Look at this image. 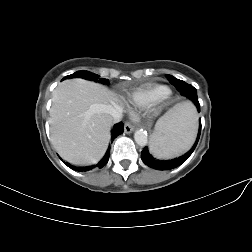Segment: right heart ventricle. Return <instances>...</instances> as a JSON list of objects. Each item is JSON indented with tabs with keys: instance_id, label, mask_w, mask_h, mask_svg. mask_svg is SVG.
Here are the masks:
<instances>
[{
	"instance_id": "right-heart-ventricle-1",
	"label": "right heart ventricle",
	"mask_w": 252,
	"mask_h": 252,
	"mask_svg": "<svg viewBox=\"0 0 252 252\" xmlns=\"http://www.w3.org/2000/svg\"><path fill=\"white\" fill-rule=\"evenodd\" d=\"M169 95L170 90L166 86L147 85L131 91L128 97L133 106L146 109L167 99Z\"/></svg>"
}]
</instances>
